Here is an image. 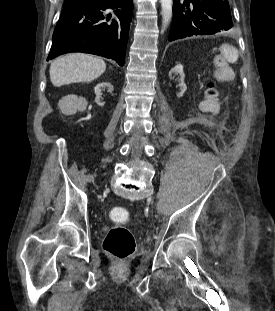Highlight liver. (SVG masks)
I'll use <instances>...</instances> for the list:
<instances>
[{
    "label": "liver",
    "instance_id": "obj_1",
    "mask_svg": "<svg viewBox=\"0 0 275 311\" xmlns=\"http://www.w3.org/2000/svg\"><path fill=\"white\" fill-rule=\"evenodd\" d=\"M103 59L83 53L62 56L51 63L50 80L55 87L76 82H90L104 73Z\"/></svg>",
    "mask_w": 275,
    "mask_h": 311
}]
</instances>
